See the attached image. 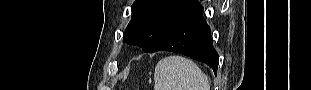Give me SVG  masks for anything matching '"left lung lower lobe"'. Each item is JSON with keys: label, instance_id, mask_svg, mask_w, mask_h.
Instances as JSON below:
<instances>
[{"label": "left lung lower lobe", "instance_id": "0a47b994", "mask_svg": "<svg viewBox=\"0 0 311 90\" xmlns=\"http://www.w3.org/2000/svg\"><path fill=\"white\" fill-rule=\"evenodd\" d=\"M198 6L180 19L149 53L173 51L209 65L216 73L219 57L212 45L210 28Z\"/></svg>", "mask_w": 311, "mask_h": 90}]
</instances>
